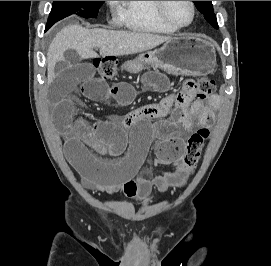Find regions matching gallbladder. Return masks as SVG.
<instances>
[{"mask_svg":"<svg viewBox=\"0 0 271 266\" xmlns=\"http://www.w3.org/2000/svg\"><path fill=\"white\" fill-rule=\"evenodd\" d=\"M80 58L75 50L68 49L64 53V60L58 61L55 65V72L61 75L69 66L76 65L80 62Z\"/></svg>","mask_w":271,"mask_h":266,"instance_id":"1","label":"gallbladder"}]
</instances>
